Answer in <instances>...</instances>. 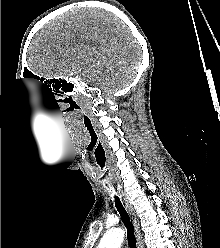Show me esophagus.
I'll return each instance as SVG.
<instances>
[{
	"label": "esophagus",
	"instance_id": "34e87169",
	"mask_svg": "<svg viewBox=\"0 0 220 248\" xmlns=\"http://www.w3.org/2000/svg\"><path fill=\"white\" fill-rule=\"evenodd\" d=\"M117 189H118L120 197L122 198V200H123V202H124V204L126 206V209H127L128 213H129V215H130V217L132 219V223H133L136 238H137V248H143V246H142V237H141L140 226H139V220H138V217H137V215L135 213L133 205L130 202L129 198L126 196V194L123 191L122 187L118 186Z\"/></svg>",
	"mask_w": 220,
	"mask_h": 248
}]
</instances>
